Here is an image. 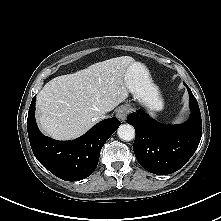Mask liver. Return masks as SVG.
<instances>
[{"label": "liver", "mask_w": 221, "mask_h": 221, "mask_svg": "<svg viewBox=\"0 0 221 221\" xmlns=\"http://www.w3.org/2000/svg\"><path fill=\"white\" fill-rule=\"evenodd\" d=\"M132 63L134 59L129 56L111 58L50 80L37 95L41 129L58 140L83 135L100 115L128 97L125 75Z\"/></svg>", "instance_id": "1"}]
</instances>
